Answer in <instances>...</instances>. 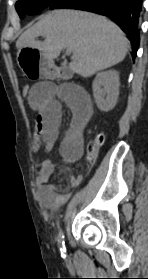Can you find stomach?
Masks as SVG:
<instances>
[{
	"label": "stomach",
	"instance_id": "0dacf381",
	"mask_svg": "<svg viewBox=\"0 0 148 279\" xmlns=\"http://www.w3.org/2000/svg\"><path fill=\"white\" fill-rule=\"evenodd\" d=\"M15 59L27 82H56L54 64L44 50H16Z\"/></svg>",
	"mask_w": 148,
	"mask_h": 279
}]
</instances>
